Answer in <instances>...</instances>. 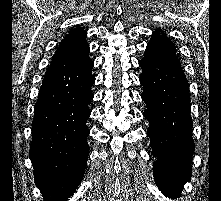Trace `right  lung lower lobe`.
<instances>
[{
	"instance_id": "obj_1",
	"label": "right lung lower lobe",
	"mask_w": 221,
	"mask_h": 201,
	"mask_svg": "<svg viewBox=\"0 0 221 201\" xmlns=\"http://www.w3.org/2000/svg\"><path fill=\"white\" fill-rule=\"evenodd\" d=\"M94 63L49 67L32 121L30 159L44 201H66L81 183L89 145V102Z\"/></svg>"
}]
</instances>
